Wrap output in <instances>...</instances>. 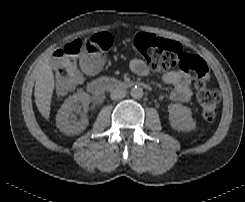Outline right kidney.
Instances as JSON below:
<instances>
[{"instance_id":"ca27d5eb","label":"right kidney","mask_w":245,"mask_h":202,"mask_svg":"<svg viewBox=\"0 0 245 202\" xmlns=\"http://www.w3.org/2000/svg\"><path fill=\"white\" fill-rule=\"evenodd\" d=\"M90 102L89 94L80 92L68 97L56 115V125L66 135H77L83 132L88 126V119L82 113L86 111ZM81 114L77 119L76 115Z\"/></svg>"}]
</instances>
